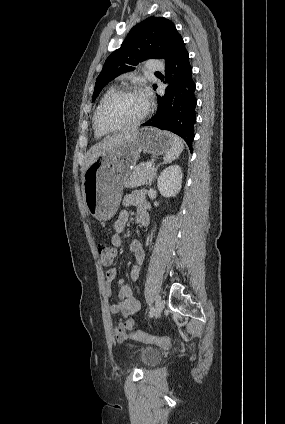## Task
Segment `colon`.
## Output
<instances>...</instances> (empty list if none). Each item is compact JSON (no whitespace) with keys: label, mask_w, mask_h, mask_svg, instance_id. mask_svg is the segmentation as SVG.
Returning <instances> with one entry per match:
<instances>
[{"label":"colon","mask_w":285,"mask_h":424,"mask_svg":"<svg viewBox=\"0 0 285 424\" xmlns=\"http://www.w3.org/2000/svg\"><path fill=\"white\" fill-rule=\"evenodd\" d=\"M97 250L102 264L111 265L113 263L114 258L116 256V251L113 247L100 242L97 245ZM132 336L137 341H145L159 345H166L171 341L170 337H152L146 335L141 331H134L132 333Z\"/></svg>","instance_id":"5ec220e1"}]
</instances>
